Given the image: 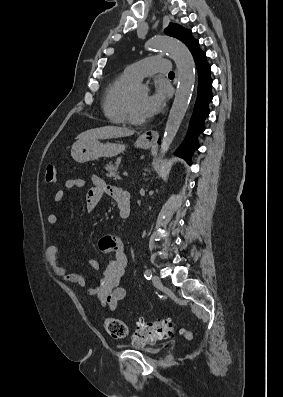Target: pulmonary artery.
Here are the masks:
<instances>
[{
	"mask_svg": "<svg viewBox=\"0 0 283 397\" xmlns=\"http://www.w3.org/2000/svg\"><path fill=\"white\" fill-rule=\"evenodd\" d=\"M169 69V62L166 59L152 56L129 65L124 74L136 82L155 73H167Z\"/></svg>",
	"mask_w": 283,
	"mask_h": 397,
	"instance_id": "pulmonary-artery-1",
	"label": "pulmonary artery"
}]
</instances>
